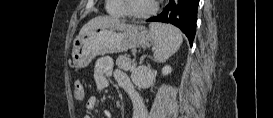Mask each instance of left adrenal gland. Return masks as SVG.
Returning a JSON list of instances; mask_svg holds the SVG:
<instances>
[{
	"instance_id": "a2214340",
	"label": "left adrenal gland",
	"mask_w": 273,
	"mask_h": 118,
	"mask_svg": "<svg viewBox=\"0 0 273 118\" xmlns=\"http://www.w3.org/2000/svg\"><path fill=\"white\" fill-rule=\"evenodd\" d=\"M144 58H145V56H143V57L140 59V63L143 62Z\"/></svg>"
}]
</instances>
